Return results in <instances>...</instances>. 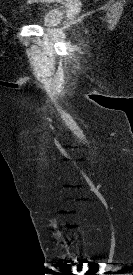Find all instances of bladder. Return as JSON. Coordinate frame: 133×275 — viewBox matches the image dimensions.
Listing matches in <instances>:
<instances>
[{
  "mask_svg": "<svg viewBox=\"0 0 133 275\" xmlns=\"http://www.w3.org/2000/svg\"><path fill=\"white\" fill-rule=\"evenodd\" d=\"M62 18L63 13L58 8H50L43 14L40 24L44 27H55Z\"/></svg>",
  "mask_w": 133,
  "mask_h": 275,
  "instance_id": "31cf9c89",
  "label": "bladder"
}]
</instances>
